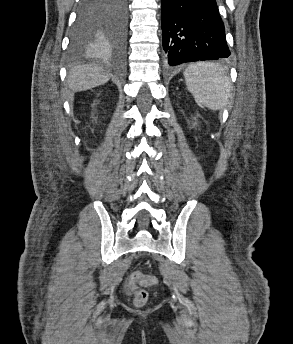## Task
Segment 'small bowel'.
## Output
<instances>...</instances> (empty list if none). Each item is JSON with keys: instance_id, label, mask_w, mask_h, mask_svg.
<instances>
[{"instance_id": "obj_1", "label": "small bowel", "mask_w": 293, "mask_h": 344, "mask_svg": "<svg viewBox=\"0 0 293 344\" xmlns=\"http://www.w3.org/2000/svg\"><path fill=\"white\" fill-rule=\"evenodd\" d=\"M127 291L129 293H131L133 291L132 286L130 285V283L127 284Z\"/></svg>"}]
</instances>
